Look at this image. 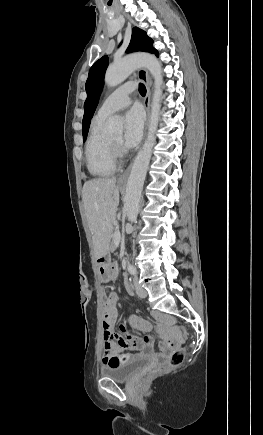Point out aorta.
I'll list each match as a JSON object with an SVG mask.
<instances>
[{
	"label": "aorta",
	"mask_w": 263,
	"mask_h": 435,
	"mask_svg": "<svg viewBox=\"0 0 263 435\" xmlns=\"http://www.w3.org/2000/svg\"><path fill=\"white\" fill-rule=\"evenodd\" d=\"M145 67L154 78L155 90L152 99L151 116L148 125V135L142 149L134 160L126 188L124 208L130 221L137 218L141 193L155 144V132L158 127L161 108L163 76L158 59L150 54H136L123 58L109 66L105 74V84L114 87L122 83L133 71ZM107 134H122L123 122L119 117L109 118L106 125Z\"/></svg>",
	"instance_id": "obj_1"
}]
</instances>
